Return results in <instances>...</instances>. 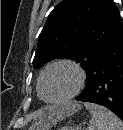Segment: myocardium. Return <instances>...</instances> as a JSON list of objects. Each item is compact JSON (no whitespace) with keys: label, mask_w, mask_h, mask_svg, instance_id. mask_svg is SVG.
<instances>
[{"label":"myocardium","mask_w":123,"mask_h":130,"mask_svg":"<svg viewBox=\"0 0 123 130\" xmlns=\"http://www.w3.org/2000/svg\"><path fill=\"white\" fill-rule=\"evenodd\" d=\"M59 65L68 66L76 72L77 77H78L77 85L70 94H68L62 98H59V99L50 100V99L45 98V96L43 94V79L49 69H51L55 66H59ZM85 82H86V73L79 63H77L76 61H74L72 59H67V58L57 59V60L52 61L51 63L47 64L44 67V69L41 71L39 79H38V93H39L40 98L43 101L50 103V104H60V103L67 102V101L75 98L84 88Z\"/></svg>","instance_id":"obj_1"}]
</instances>
